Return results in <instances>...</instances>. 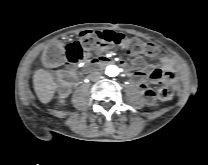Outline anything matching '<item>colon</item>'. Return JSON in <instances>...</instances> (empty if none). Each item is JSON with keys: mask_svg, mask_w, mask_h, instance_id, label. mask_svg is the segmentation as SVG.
I'll return each mask as SVG.
<instances>
[{"mask_svg": "<svg viewBox=\"0 0 208 165\" xmlns=\"http://www.w3.org/2000/svg\"><path fill=\"white\" fill-rule=\"evenodd\" d=\"M107 43H115L125 49L130 55L144 54L154 56L157 47L152 43H145L137 38H128L121 33L113 31H92L80 32L77 39L64 45L61 41L52 42L43 51L41 56L42 64L46 68H56L67 62L77 63L94 57ZM174 95V86L167 84L157 92L160 101H168Z\"/></svg>", "mask_w": 208, "mask_h": 165, "instance_id": "obj_1", "label": "colon"}]
</instances>
